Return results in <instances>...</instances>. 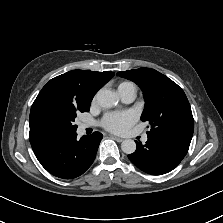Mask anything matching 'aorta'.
I'll return each instance as SVG.
<instances>
[{"label": "aorta", "instance_id": "1", "mask_svg": "<svg viewBox=\"0 0 223 223\" xmlns=\"http://www.w3.org/2000/svg\"><path fill=\"white\" fill-rule=\"evenodd\" d=\"M96 101L102 108H111L117 103V97L114 92L101 89L96 94ZM121 149L126 154H132L136 150V143L132 139L123 140Z\"/></svg>", "mask_w": 223, "mask_h": 223}]
</instances>
